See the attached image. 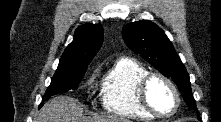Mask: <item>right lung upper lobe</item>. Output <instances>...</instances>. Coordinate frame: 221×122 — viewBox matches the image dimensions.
<instances>
[{
	"instance_id": "1",
	"label": "right lung upper lobe",
	"mask_w": 221,
	"mask_h": 122,
	"mask_svg": "<svg viewBox=\"0 0 221 122\" xmlns=\"http://www.w3.org/2000/svg\"><path fill=\"white\" fill-rule=\"evenodd\" d=\"M103 42V28L86 24L76 29L74 40L65 49L57 69L87 68Z\"/></svg>"
}]
</instances>
